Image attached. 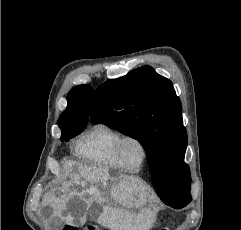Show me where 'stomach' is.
<instances>
[{
	"instance_id": "1",
	"label": "stomach",
	"mask_w": 241,
	"mask_h": 230,
	"mask_svg": "<svg viewBox=\"0 0 241 230\" xmlns=\"http://www.w3.org/2000/svg\"><path fill=\"white\" fill-rule=\"evenodd\" d=\"M153 227H156V228H158L159 230H161V224H160V222L157 221V220H155Z\"/></svg>"
}]
</instances>
